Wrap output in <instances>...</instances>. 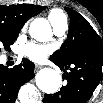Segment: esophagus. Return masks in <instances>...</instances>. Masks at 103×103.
Wrapping results in <instances>:
<instances>
[{"instance_id": "esophagus-1", "label": "esophagus", "mask_w": 103, "mask_h": 103, "mask_svg": "<svg viewBox=\"0 0 103 103\" xmlns=\"http://www.w3.org/2000/svg\"><path fill=\"white\" fill-rule=\"evenodd\" d=\"M42 68V65L39 64H35V70L38 71Z\"/></svg>"}]
</instances>
